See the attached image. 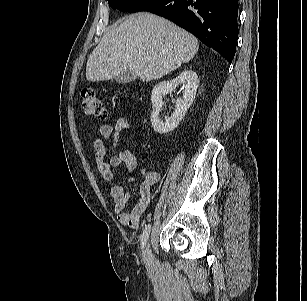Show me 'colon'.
Masks as SVG:
<instances>
[{
	"label": "colon",
	"instance_id": "1",
	"mask_svg": "<svg viewBox=\"0 0 307 301\" xmlns=\"http://www.w3.org/2000/svg\"><path fill=\"white\" fill-rule=\"evenodd\" d=\"M82 105L85 112L99 119H106L107 112L105 106L94 91H83L82 92Z\"/></svg>",
	"mask_w": 307,
	"mask_h": 301
}]
</instances>
